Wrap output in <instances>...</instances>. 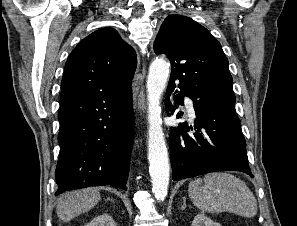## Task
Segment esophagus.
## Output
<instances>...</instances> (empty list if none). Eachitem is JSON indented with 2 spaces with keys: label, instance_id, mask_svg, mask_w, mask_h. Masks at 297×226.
Instances as JSON below:
<instances>
[{
  "label": "esophagus",
  "instance_id": "obj_1",
  "mask_svg": "<svg viewBox=\"0 0 297 226\" xmlns=\"http://www.w3.org/2000/svg\"><path fill=\"white\" fill-rule=\"evenodd\" d=\"M145 67L143 68V78L145 77ZM137 107H138V111L140 113V115H142L145 112V94H144V90L142 88V90L140 91L138 98H137Z\"/></svg>",
  "mask_w": 297,
  "mask_h": 226
}]
</instances>
